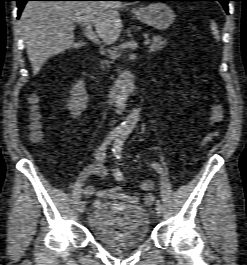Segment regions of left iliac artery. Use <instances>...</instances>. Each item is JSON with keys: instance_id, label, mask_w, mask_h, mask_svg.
<instances>
[{"instance_id": "44dca946", "label": "left iliac artery", "mask_w": 247, "mask_h": 265, "mask_svg": "<svg viewBox=\"0 0 247 265\" xmlns=\"http://www.w3.org/2000/svg\"><path fill=\"white\" fill-rule=\"evenodd\" d=\"M128 134L127 133H122L118 138H116L115 143L113 145L112 151L114 156L117 159H121L122 158V147L124 145V142L127 138ZM151 166L159 173V174H163L164 170L161 167V165L157 162H153L151 164Z\"/></svg>"}]
</instances>
